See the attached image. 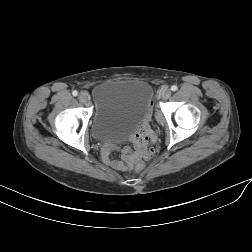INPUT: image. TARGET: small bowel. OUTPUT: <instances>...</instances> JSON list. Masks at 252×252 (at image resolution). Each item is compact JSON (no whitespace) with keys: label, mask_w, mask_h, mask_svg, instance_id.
Returning a JSON list of instances; mask_svg holds the SVG:
<instances>
[{"label":"small bowel","mask_w":252,"mask_h":252,"mask_svg":"<svg viewBox=\"0 0 252 252\" xmlns=\"http://www.w3.org/2000/svg\"><path fill=\"white\" fill-rule=\"evenodd\" d=\"M149 141V130L145 127H138L131 136L133 150L123 148L121 150V159L114 160L110 157L108 150L103 152V159L106 164L117 170H126L131 168L134 163L143 156L146 158V150Z\"/></svg>","instance_id":"small-bowel-1"}]
</instances>
